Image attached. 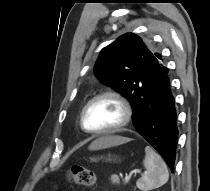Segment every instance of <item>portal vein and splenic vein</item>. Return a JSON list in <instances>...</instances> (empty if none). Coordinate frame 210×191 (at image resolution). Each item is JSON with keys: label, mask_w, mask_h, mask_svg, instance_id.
<instances>
[{"label": "portal vein and splenic vein", "mask_w": 210, "mask_h": 191, "mask_svg": "<svg viewBox=\"0 0 210 191\" xmlns=\"http://www.w3.org/2000/svg\"><path fill=\"white\" fill-rule=\"evenodd\" d=\"M139 172H140L139 170H136V171H135V173H139ZM130 178H131L130 175H126L125 178H124V182H125V183H128V182L130 181Z\"/></svg>", "instance_id": "18ae733b"}]
</instances>
